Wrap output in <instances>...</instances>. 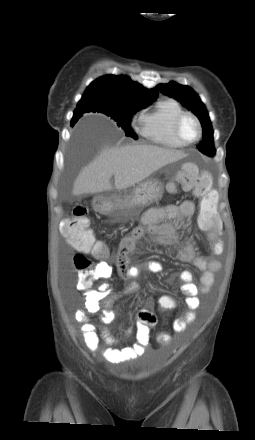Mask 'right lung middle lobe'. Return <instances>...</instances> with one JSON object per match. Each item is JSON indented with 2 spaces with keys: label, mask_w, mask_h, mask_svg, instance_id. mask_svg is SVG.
Returning <instances> with one entry per match:
<instances>
[{
  "label": "right lung middle lobe",
  "mask_w": 255,
  "mask_h": 440,
  "mask_svg": "<svg viewBox=\"0 0 255 440\" xmlns=\"http://www.w3.org/2000/svg\"><path fill=\"white\" fill-rule=\"evenodd\" d=\"M147 104L149 103H113L93 97L82 96V99L79 101L77 108L74 111V114H76L77 116V120L75 121V123L78 121L83 113L100 112L114 119L117 122V125L125 130L126 136L137 139V135L133 132L130 126L131 117L137 111L146 107Z\"/></svg>",
  "instance_id": "obj_1"
}]
</instances>
